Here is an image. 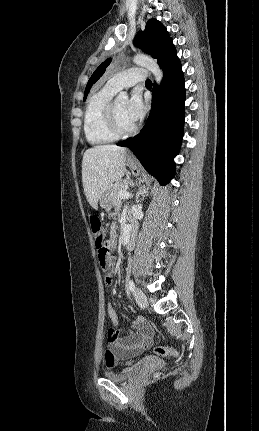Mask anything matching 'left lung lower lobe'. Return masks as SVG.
<instances>
[{
    "label": "left lung lower lobe",
    "instance_id": "obj_1",
    "mask_svg": "<svg viewBox=\"0 0 259 431\" xmlns=\"http://www.w3.org/2000/svg\"><path fill=\"white\" fill-rule=\"evenodd\" d=\"M158 64L163 70L160 87L154 84L150 115L134 138L118 146L129 147L143 167L161 185H166L175 173L174 157L179 153L185 118V81L175 46L170 44Z\"/></svg>",
    "mask_w": 259,
    "mask_h": 431
}]
</instances>
